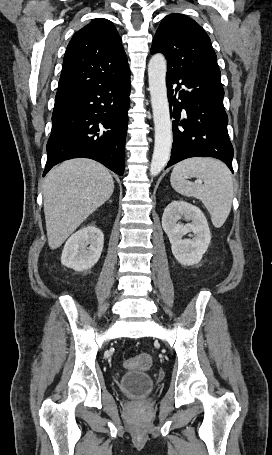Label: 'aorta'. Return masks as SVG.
I'll return each instance as SVG.
<instances>
[{
  "mask_svg": "<svg viewBox=\"0 0 272 455\" xmlns=\"http://www.w3.org/2000/svg\"><path fill=\"white\" fill-rule=\"evenodd\" d=\"M167 63L164 55L155 54L148 64L149 91L155 129V145L150 175H158L170 158L172 123L166 87Z\"/></svg>",
  "mask_w": 272,
  "mask_h": 455,
  "instance_id": "obj_1",
  "label": "aorta"
}]
</instances>
